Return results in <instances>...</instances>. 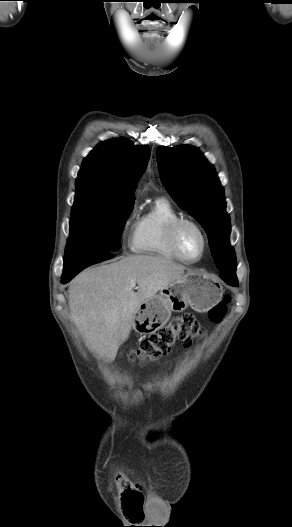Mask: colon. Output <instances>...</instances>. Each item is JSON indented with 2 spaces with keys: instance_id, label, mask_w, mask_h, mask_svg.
<instances>
[{
  "instance_id": "obj_1",
  "label": "colon",
  "mask_w": 292,
  "mask_h": 527,
  "mask_svg": "<svg viewBox=\"0 0 292 527\" xmlns=\"http://www.w3.org/2000/svg\"><path fill=\"white\" fill-rule=\"evenodd\" d=\"M226 311V301L220 302L209 311V319L213 322H219L225 316ZM203 334L204 330L194 315L185 313L172 318L166 326L142 340L137 348L130 351L129 358L131 360L155 361L169 353L177 342L189 347ZM121 501L122 506L131 514H133L134 509L137 512L142 510L141 492L132 482L125 484Z\"/></svg>"
}]
</instances>
